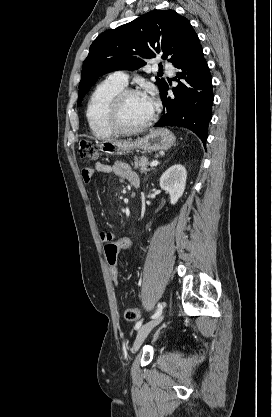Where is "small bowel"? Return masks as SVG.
<instances>
[{"label":"small bowel","instance_id":"small-bowel-1","mask_svg":"<svg viewBox=\"0 0 272 417\" xmlns=\"http://www.w3.org/2000/svg\"><path fill=\"white\" fill-rule=\"evenodd\" d=\"M97 173H105L110 174L113 173L118 177H121L131 184L133 182H138L139 179L135 171L129 166L127 163L118 161L115 162L113 165H108L104 163H96L92 167H87L82 170V178L83 180L88 183L94 175ZM115 238V234L112 232H101L100 239L103 243H107L111 239Z\"/></svg>","mask_w":272,"mask_h":417}]
</instances>
